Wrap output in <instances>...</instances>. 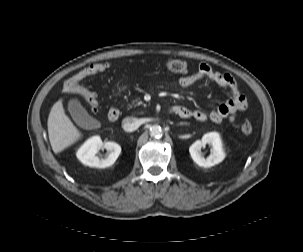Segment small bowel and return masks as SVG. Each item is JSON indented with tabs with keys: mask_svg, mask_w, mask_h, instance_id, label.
Instances as JSON below:
<instances>
[{
	"mask_svg": "<svg viewBox=\"0 0 303 252\" xmlns=\"http://www.w3.org/2000/svg\"><path fill=\"white\" fill-rule=\"evenodd\" d=\"M203 79H208L225 88L229 92L230 99L209 113L202 110H191L186 106H177L180 112L178 115L193 117L197 121L209 119L215 123L222 122L225 119L233 121L246 105V98L241 93L235 80L228 74L213 70L207 64H200L194 73L180 77L178 83L182 88H187Z\"/></svg>",
	"mask_w": 303,
	"mask_h": 252,
	"instance_id": "c3829d8e",
	"label": "small bowel"
}]
</instances>
